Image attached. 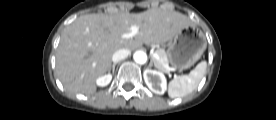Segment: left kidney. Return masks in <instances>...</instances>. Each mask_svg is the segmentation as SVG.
<instances>
[{"instance_id":"5707ae66","label":"left kidney","mask_w":276,"mask_h":120,"mask_svg":"<svg viewBox=\"0 0 276 120\" xmlns=\"http://www.w3.org/2000/svg\"><path fill=\"white\" fill-rule=\"evenodd\" d=\"M143 76L146 85L152 92L160 95L165 92L166 78L162 72L146 69Z\"/></svg>"}]
</instances>
